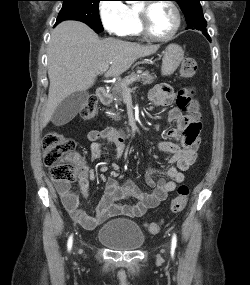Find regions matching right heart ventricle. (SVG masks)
Returning <instances> with one entry per match:
<instances>
[{
  "label": "right heart ventricle",
  "instance_id": "1",
  "mask_svg": "<svg viewBox=\"0 0 250 285\" xmlns=\"http://www.w3.org/2000/svg\"><path fill=\"white\" fill-rule=\"evenodd\" d=\"M129 11H130V22L124 35L139 37L142 34H141L137 9L136 7H130Z\"/></svg>",
  "mask_w": 250,
  "mask_h": 285
}]
</instances>
